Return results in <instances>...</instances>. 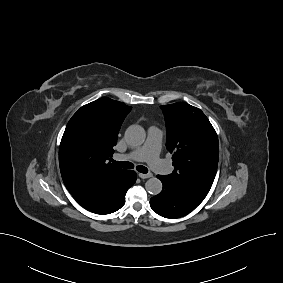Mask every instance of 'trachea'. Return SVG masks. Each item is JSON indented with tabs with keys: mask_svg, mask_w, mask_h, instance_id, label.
I'll return each instance as SVG.
<instances>
[{
	"mask_svg": "<svg viewBox=\"0 0 283 283\" xmlns=\"http://www.w3.org/2000/svg\"><path fill=\"white\" fill-rule=\"evenodd\" d=\"M113 163L118 165L119 167L125 168V169H132V168H134V165L131 162H127V161H115V160H113ZM136 169L140 173L146 174L148 172V169L145 166H142V165H138L136 167Z\"/></svg>",
	"mask_w": 283,
	"mask_h": 283,
	"instance_id": "3493384b",
	"label": "trachea"
}]
</instances>
